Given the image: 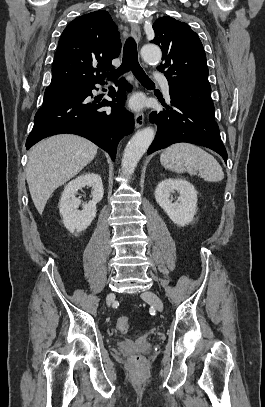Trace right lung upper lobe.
I'll list each match as a JSON object with an SVG mask.
<instances>
[{
	"label": "right lung upper lobe",
	"instance_id": "right-lung-upper-lobe-1",
	"mask_svg": "<svg viewBox=\"0 0 265 407\" xmlns=\"http://www.w3.org/2000/svg\"><path fill=\"white\" fill-rule=\"evenodd\" d=\"M120 50L118 28L107 11L80 16L64 29L60 37L51 84L85 85L104 79L100 71L113 70L111 61L119 56Z\"/></svg>",
	"mask_w": 265,
	"mask_h": 407
}]
</instances>
